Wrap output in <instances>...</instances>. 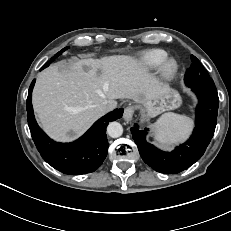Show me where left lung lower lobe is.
I'll return each mask as SVG.
<instances>
[{
    "instance_id": "1",
    "label": "left lung lower lobe",
    "mask_w": 231,
    "mask_h": 231,
    "mask_svg": "<svg viewBox=\"0 0 231 231\" xmlns=\"http://www.w3.org/2000/svg\"><path fill=\"white\" fill-rule=\"evenodd\" d=\"M190 88L199 100L195 128L191 137L175 150L164 152L148 143L145 139L148 128L141 129L135 124L130 129L142 159L155 171L176 174L189 168L201 158L214 135L219 104L217 91Z\"/></svg>"
}]
</instances>
